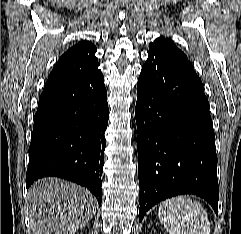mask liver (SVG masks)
<instances>
[{"label":"liver","mask_w":241,"mask_h":234,"mask_svg":"<svg viewBox=\"0 0 241 234\" xmlns=\"http://www.w3.org/2000/svg\"><path fill=\"white\" fill-rule=\"evenodd\" d=\"M27 204L33 234H75L97 207L88 190L55 177L36 181L28 190Z\"/></svg>","instance_id":"obj_1"}]
</instances>
